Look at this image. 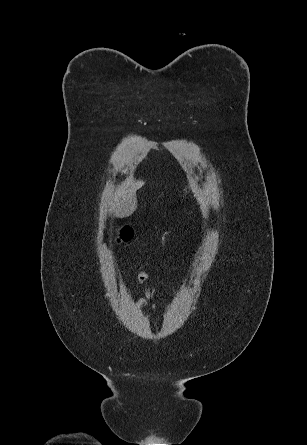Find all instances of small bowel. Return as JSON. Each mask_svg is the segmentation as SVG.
Here are the masks:
<instances>
[{
	"mask_svg": "<svg viewBox=\"0 0 307 445\" xmlns=\"http://www.w3.org/2000/svg\"><path fill=\"white\" fill-rule=\"evenodd\" d=\"M138 282L143 287L146 293V297L139 301V307H144L148 304L149 301L158 300L160 298V294L152 286L150 277L145 271L139 273Z\"/></svg>",
	"mask_w": 307,
	"mask_h": 445,
	"instance_id": "c3829d8e",
	"label": "small bowel"
}]
</instances>
